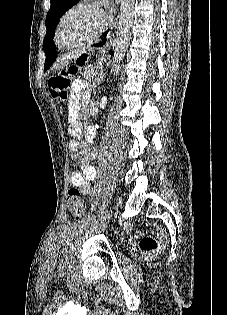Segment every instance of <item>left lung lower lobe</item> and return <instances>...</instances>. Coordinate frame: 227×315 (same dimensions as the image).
<instances>
[{
    "mask_svg": "<svg viewBox=\"0 0 227 315\" xmlns=\"http://www.w3.org/2000/svg\"><path fill=\"white\" fill-rule=\"evenodd\" d=\"M109 30H107L106 32H104L102 34V40L99 43L93 44V46L96 47H102L105 45L106 43V34ZM104 37V38H103ZM110 53L113 55V52L110 51ZM46 54V60H45V70H47L56 60V56H57V52H56V48L54 45H50L47 48V51H45Z\"/></svg>",
    "mask_w": 227,
    "mask_h": 315,
    "instance_id": "0a47b994",
    "label": "left lung lower lobe"
}]
</instances>
